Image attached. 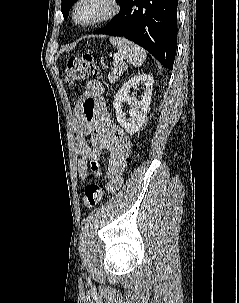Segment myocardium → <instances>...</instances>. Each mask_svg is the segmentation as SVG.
I'll use <instances>...</instances> for the list:
<instances>
[{
	"label": "myocardium",
	"mask_w": 239,
	"mask_h": 303,
	"mask_svg": "<svg viewBox=\"0 0 239 303\" xmlns=\"http://www.w3.org/2000/svg\"><path fill=\"white\" fill-rule=\"evenodd\" d=\"M84 1L85 0H77L72 9L73 21L77 25L82 26V27H90V26H94V25H97L100 23L110 21L113 18H115L120 13V10H121V4H120L119 0H104L107 4V10L104 13H102L101 15H99L89 21L81 22L78 20L77 13H78L79 6Z\"/></svg>",
	"instance_id": "obj_1"
}]
</instances>
